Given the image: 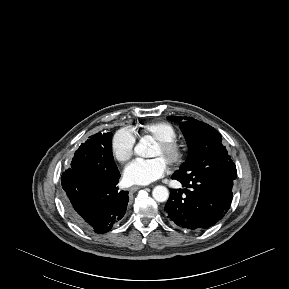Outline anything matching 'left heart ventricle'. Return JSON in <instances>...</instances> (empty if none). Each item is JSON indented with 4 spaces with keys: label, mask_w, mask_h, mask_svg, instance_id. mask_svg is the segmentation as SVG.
I'll list each match as a JSON object with an SVG mask.
<instances>
[{
    "label": "left heart ventricle",
    "mask_w": 289,
    "mask_h": 289,
    "mask_svg": "<svg viewBox=\"0 0 289 289\" xmlns=\"http://www.w3.org/2000/svg\"><path fill=\"white\" fill-rule=\"evenodd\" d=\"M149 158H158L160 159L166 166L169 163L170 156L164 152H161L157 147L153 146L149 155Z\"/></svg>",
    "instance_id": "left-heart-ventricle-1"
}]
</instances>
